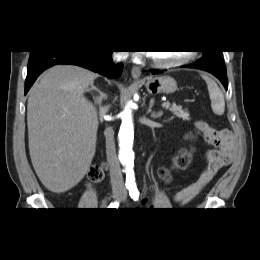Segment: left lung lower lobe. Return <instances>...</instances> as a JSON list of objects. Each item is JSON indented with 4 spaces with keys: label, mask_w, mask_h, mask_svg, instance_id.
Wrapping results in <instances>:
<instances>
[{
    "label": "left lung lower lobe",
    "mask_w": 260,
    "mask_h": 260,
    "mask_svg": "<svg viewBox=\"0 0 260 260\" xmlns=\"http://www.w3.org/2000/svg\"><path fill=\"white\" fill-rule=\"evenodd\" d=\"M182 67L207 71L213 74L214 76H216L221 81V83L223 84L226 90L228 88L226 68L220 55H215V54L203 55V57L197 62L189 65H184ZM161 72L162 71L152 70L153 74H159Z\"/></svg>",
    "instance_id": "left-lung-lower-lobe-1"
}]
</instances>
